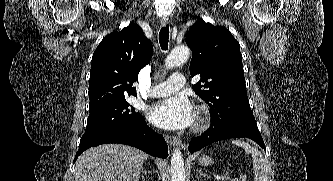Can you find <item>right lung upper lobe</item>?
Returning <instances> with one entry per match:
<instances>
[{"label":"right lung upper lobe","mask_w":333,"mask_h":181,"mask_svg":"<svg viewBox=\"0 0 333 181\" xmlns=\"http://www.w3.org/2000/svg\"><path fill=\"white\" fill-rule=\"evenodd\" d=\"M152 54L151 41L137 25L107 35L92 57L89 108L136 96L133 82Z\"/></svg>","instance_id":"1"}]
</instances>
